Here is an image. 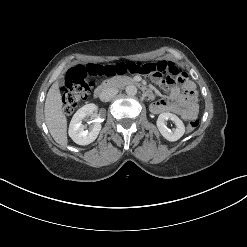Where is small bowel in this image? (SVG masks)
I'll return each mask as SVG.
<instances>
[{"label": "small bowel", "instance_id": "c3829d8e", "mask_svg": "<svg viewBox=\"0 0 247 247\" xmlns=\"http://www.w3.org/2000/svg\"><path fill=\"white\" fill-rule=\"evenodd\" d=\"M128 73L147 76L168 92L167 97L151 104L150 109L154 114L171 112L179 115L183 120L197 117L199 106L194 84L174 62H141L140 66Z\"/></svg>", "mask_w": 247, "mask_h": 247}]
</instances>
